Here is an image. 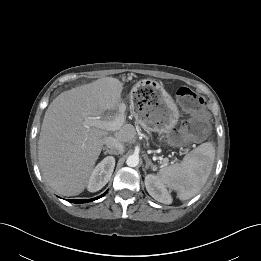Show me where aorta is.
Returning <instances> with one entry per match:
<instances>
[{"label": "aorta", "mask_w": 261, "mask_h": 261, "mask_svg": "<svg viewBox=\"0 0 261 261\" xmlns=\"http://www.w3.org/2000/svg\"><path fill=\"white\" fill-rule=\"evenodd\" d=\"M126 164L129 167H136L139 164V157L137 155H130L126 160Z\"/></svg>", "instance_id": "762f6f07"}]
</instances>
